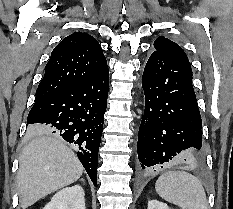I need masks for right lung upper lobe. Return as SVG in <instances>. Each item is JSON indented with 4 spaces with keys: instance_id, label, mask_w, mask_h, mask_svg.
Masks as SVG:
<instances>
[{
    "instance_id": "1",
    "label": "right lung upper lobe",
    "mask_w": 233,
    "mask_h": 209,
    "mask_svg": "<svg viewBox=\"0 0 233 209\" xmlns=\"http://www.w3.org/2000/svg\"><path fill=\"white\" fill-rule=\"evenodd\" d=\"M106 67L100 44L87 33H73L52 51L35 101L89 80Z\"/></svg>"
}]
</instances>
